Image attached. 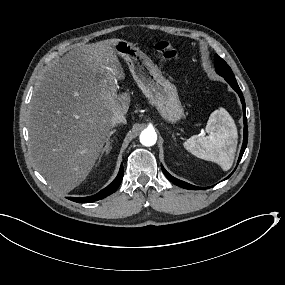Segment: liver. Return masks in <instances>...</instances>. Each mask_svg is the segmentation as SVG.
<instances>
[{"mask_svg":"<svg viewBox=\"0 0 285 285\" xmlns=\"http://www.w3.org/2000/svg\"><path fill=\"white\" fill-rule=\"evenodd\" d=\"M116 42L68 52L36 84L27 122L29 152L38 171L62 194L80 185L101 158L114 112H128L130 94H117L125 72Z\"/></svg>","mask_w":285,"mask_h":285,"instance_id":"1","label":"liver"}]
</instances>
